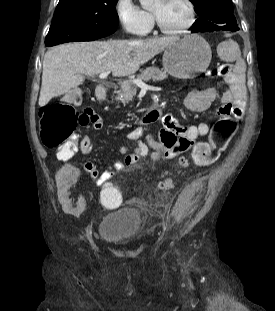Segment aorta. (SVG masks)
Listing matches in <instances>:
<instances>
[{
  "label": "aorta",
  "instance_id": "aorta-1",
  "mask_svg": "<svg viewBox=\"0 0 275 311\" xmlns=\"http://www.w3.org/2000/svg\"><path fill=\"white\" fill-rule=\"evenodd\" d=\"M141 5L143 6H149L151 4H153L154 0H139Z\"/></svg>",
  "mask_w": 275,
  "mask_h": 311
}]
</instances>
